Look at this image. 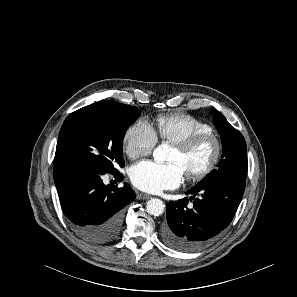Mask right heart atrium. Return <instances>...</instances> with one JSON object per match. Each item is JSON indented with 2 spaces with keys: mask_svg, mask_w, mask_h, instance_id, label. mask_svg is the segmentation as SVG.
<instances>
[{
  "mask_svg": "<svg viewBox=\"0 0 297 297\" xmlns=\"http://www.w3.org/2000/svg\"><path fill=\"white\" fill-rule=\"evenodd\" d=\"M157 144L153 127L145 120L130 126L123 137V147L127 156L136 160L152 153Z\"/></svg>",
  "mask_w": 297,
  "mask_h": 297,
  "instance_id": "obj_1",
  "label": "right heart atrium"
}]
</instances>
